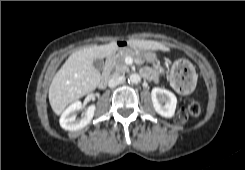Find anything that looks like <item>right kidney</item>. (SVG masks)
Wrapping results in <instances>:
<instances>
[{
	"label": "right kidney",
	"instance_id": "obj_1",
	"mask_svg": "<svg viewBox=\"0 0 245 170\" xmlns=\"http://www.w3.org/2000/svg\"><path fill=\"white\" fill-rule=\"evenodd\" d=\"M81 108L82 103L80 101H75L69 107H67L60 117V126L68 131H76L89 124L94 116L95 105H90L88 107L84 117L76 118V112Z\"/></svg>",
	"mask_w": 245,
	"mask_h": 170
}]
</instances>
